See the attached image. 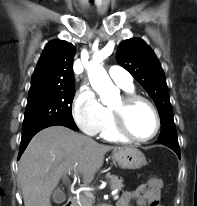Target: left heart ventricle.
Returning <instances> with one entry per match:
<instances>
[{
	"label": "left heart ventricle",
	"instance_id": "1",
	"mask_svg": "<svg viewBox=\"0 0 197 206\" xmlns=\"http://www.w3.org/2000/svg\"><path fill=\"white\" fill-rule=\"evenodd\" d=\"M121 104V98L117 99L112 108H117ZM127 125L133 135L140 138L150 136L155 129V117L151 109L144 103L133 105L126 115Z\"/></svg>",
	"mask_w": 197,
	"mask_h": 206
}]
</instances>
